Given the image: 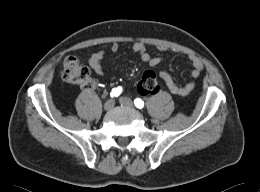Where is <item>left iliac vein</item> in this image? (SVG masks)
<instances>
[{"label":"left iliac vein","mask_w":260,"mask_h":192,"mask_svg":"<svg viewBox=\"0 0 260 192\" xmlns=\"http://www.w3.org/2000/svg\"><path fill=\"white\" fill-rule=\"evenodd\" d=\"M119 102L121 105L132 108L133 107V102L130 98L128 97H120Z\"/></svg>","instance_id":"4c4485c4"}]
</instances>
